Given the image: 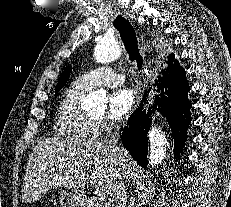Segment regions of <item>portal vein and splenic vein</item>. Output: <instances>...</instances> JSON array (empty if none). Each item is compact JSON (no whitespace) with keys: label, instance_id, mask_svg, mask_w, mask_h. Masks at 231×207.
Returning a JSON list of instances; mask_svg holds the SVG:
<instances>
[{"label":"portal vein and splenic vein","instance_id":"obj_1","mask_svg":"<svg viewBox=\"0 0 231 207\" xmlns=\"http://www.w3.org/2000/svg\"><path fill=\"white\" fill-rule=\"evenodd\" d=\"M95 198L100 202L105 201V196L101 192H95Z\"/></svg>","mask_w":231,"mask_h":207}]
</instances>
